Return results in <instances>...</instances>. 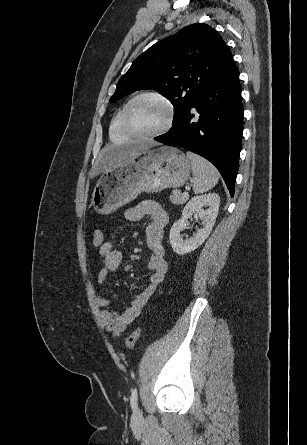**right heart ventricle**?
<instances>
[{"label":"right heart ventricle","instance_id":"1","mask_svg":"<svg viewBox=\"0 0 307 445\" xmlns=\"http://www.w3.org/2000/svg\"><path fill=\"white\" fill-rule=\"evenodd\" d=\"M109 134L111 140H130V135L125 126V109H121L113 118Z\"/></svg>","mask_w":307,"mask_h":445}]
</instances>
